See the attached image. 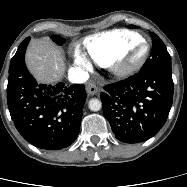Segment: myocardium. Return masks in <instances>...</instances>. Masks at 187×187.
<instances>
[{"label":"myocardium","instance_id":"f54148a6","mask_svg":"<svg viewBox=\"0 0 187 187\" xmlns=\"http://www.w3.org/2000/svg\"><path fill=\"white\" fill-rule=\"evenodd\" d=\"M139 45H144L143 54L135 61H131L132 52ZM150 43L141 38L139 41L125 46L107 65L108 69L118 77L132 75L142 68L150 54Z\"/></svg>","mask_w":187,"mask_h":187}]
</instances>
